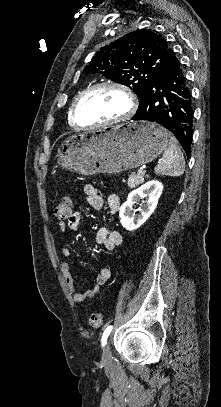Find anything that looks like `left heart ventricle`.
Returning a JSON list of instances; mask_svg holds the SVG:
<instances>
[{"mask_svg": "<svg viewBox=\"0 0 221 407\" xmlns=\"http://www.w3.org/2000/svg\"><path fill=\"white\" fill-rule=\"evenodd\" d=\"M129 107L126 95L115 88H103L90 94L78 110L79 124L102 123L124 115Z\"/></svg>", "mask_w": 221, "mask_h": 407, "instance_id": "obj_1", "label": "left heart ventricle"}]
</instances>
